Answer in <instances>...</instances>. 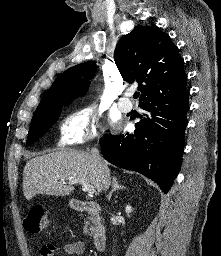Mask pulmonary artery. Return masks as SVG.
<instances>
[{
    "label": "pulmonary artery",
    "mask_w": 221,
    "mask_h": 256,
    "mask_svg": "<svg viewBox=\"0 0 221 256\" xmlns=\"http://www.w3.org/2000/svg\"><path fill=\"white\" fill-rule=\"evenodd\" d=\"M132 95L131 92H126L119 100H118V106L119 109L124 112L128 113L133 109V104L130 101V96Z\"/></svg>",
    "instance_id": "1"
}]
</instances>
